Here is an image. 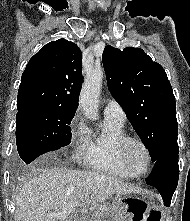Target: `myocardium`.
Here are the masks:
<instances>
[{
  "mask_svg": "<svg viewBox=\"0 0 190 221\" xmlns=\"http://www.w3.org/2000/svg\"><path fill=\"white\" fill-rule=\"evenodd\" d=\"M133 143L139 144L144 149L147 155V166L143 171L136 170L129 160V155H128L129 147ZM119 156L125 168L129 170L131 173H133L135 176L145 175L150 170L152 165V152L149 146L147 145V143L138 136L127 135L122 139L119 145Z\"/></svg>",
  "mask_w": 190,
  "mask_h": 221,
  "instance_id": "myocardium-1",
  "label": "myocardium"
}]
</instances>
